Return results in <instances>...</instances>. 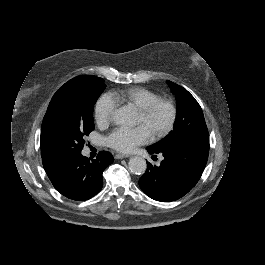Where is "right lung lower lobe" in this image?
Instances as JSON below:
<instances>
[{"instance_id": "98d812e1", "label": "right lung lower lobe", "mask_w": 265, "mask_h": 265, "mask_svg": "<svg viewBox=\"0 0 265 265\" xmlns=\"http://www.w3.org/2000/svg\"><path fill=\"white\" fill-rule=\"evenodd\" d=\"M113 161V156L106 151L99 152L92 161L80 153L66 160L49 162L44 168L58 192L69 199L84 201L101 190L102 173Z\"/></svg>"}]
</instances>
